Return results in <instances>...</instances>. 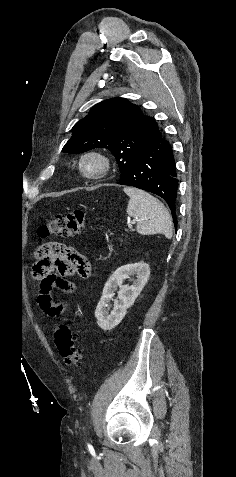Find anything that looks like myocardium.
<instances>
[{
    "mask_svg": "<svg viewBox=\"0 0 236 477\" xmlns=\"http://www.w3.org/2000/svg\"><path fill=\"white\" fill-rule=\"evenodd\" d=\"M88 159H96L100 163V168L97 172L89 173L84 169V163ZM111 168L110 160L104 154L97 151H88L83 153L78 161V171L86 179L97 180L108 174Z\"/></svg>",
    "mask_w": 236,
    "mask_h": 477,
    "instance_id": "myocardium-1",
    "label": "myocardium"
}]
</instances>
